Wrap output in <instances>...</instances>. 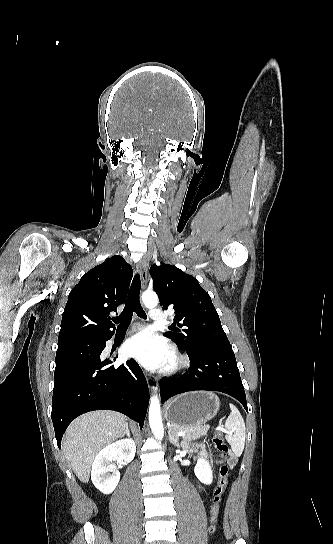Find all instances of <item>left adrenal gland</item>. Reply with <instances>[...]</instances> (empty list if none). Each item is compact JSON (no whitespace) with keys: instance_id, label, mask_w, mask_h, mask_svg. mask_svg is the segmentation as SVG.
<instances>
[{"instance_id":"obj_1","label":"left adrenal gland","mask_w":333,"mask_h":544,"mask_svg":"<svg viewBox=\"0 0 333 544\" xmlns=\"http://www.w3.org/2000/svg\"><path fill=\"white\" fill-rule=\"evenodd\" d=\"M169 440L171 443H173L176 447H179V437L176 435V433L168 431Z\"/></svg>"}]
</instances>
